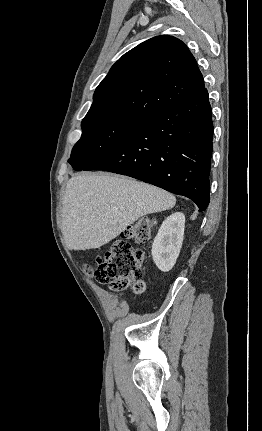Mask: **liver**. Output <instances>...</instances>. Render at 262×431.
<instances>
[{"label": "liver", "instance_id": "1", "mask_svg": "<svg viewBox=\"0 0 262 431\" xmlns=\"http://www.w3.org/2000/svg\"><path fill=\"white\" fill-rule=\"evenodd\" d=\"M160 188L108 173L81 174L66 186L62 233L70 250L100 248L138 218L174 207Z\"/></svg>", "mask_w": 262, "mask_h": 431}]
</instances>
